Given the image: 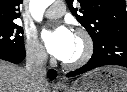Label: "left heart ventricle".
<instances>
[{"instance_id": "obj_1", "label": "left heart ventricle", "mask_w": 127, "mask_h": 92, "mask_svg": "<svg viewBox=\"0 0 127 92\" xmlns=\"http://www.w3.org/2000/svg\"><path fill=\"white\" fill-rule=\"evenodd\" d=\"M83 48H84V45L82 40L78 38L77 36H74L72 49L64 61H73L77 59L83 52Z\"/></svg>"}]
</instances>
